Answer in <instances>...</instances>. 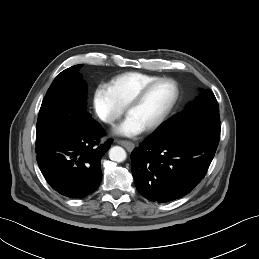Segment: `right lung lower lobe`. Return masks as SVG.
Segmentation results:
<instances>
[{"label":"right lung lower lobe","mask_w":259,"mask_h":259,"mask_svg":"<svg viewBox=\"0 0 259 259\" xmlns=\"http://www.w3.org/2000/svg\"><path fill=\"white\" fill-rule=\"evenodd\" d=\"M102 126L91 119L78 127L57 126L36 140L39 168L48 184L61 195L84 198L102 179L100 160L112 140L99 144Z\"/></svg>","instance_id":"1"}]
</instances>
